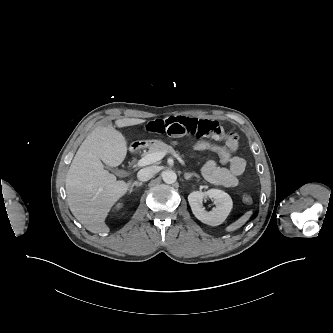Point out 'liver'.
Masks as SVG:
<instances>
[{"label": "liver", "mask_w": 333, "mask_h": 333, "mask_svg": "<svg viewBox=\"0 0 333 333\" xmlns=\"http://www.w3.org/2000/svg\"><path fill=\"white\" fill-rule=\"evenodd\" d=\"M145 120H116L119 128L144 123ZM127 154L124 136L111 124L96 127L76 152L65 179L67 202L75 218L92 233H108L105 219L112 206L126 194L132 181L117 180L104 169L119 166Z\"/></svg>", "instance_id": "liver-1"}]
</instances>
